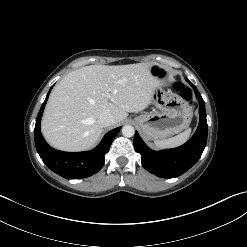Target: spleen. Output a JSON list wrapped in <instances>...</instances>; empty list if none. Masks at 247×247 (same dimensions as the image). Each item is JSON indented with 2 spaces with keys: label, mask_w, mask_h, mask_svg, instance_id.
<instances>
[{
  "label": "spleen",
  "mask_w": 247,
  "mask_h": 247,
  "mask_svg": "<svg viewBox=\"0 0 247 247\" xmlns=\"http://www.w3.org/2000/svg\"><path fill=\"white\" fill-rule=\"evenodd\" d=\"M190 134H191V130L188 129L175 137L163 139V140H156L154 144L160 149L178 147L189 139Z\"/></svg>",
  "instance_id": "spleen-1"
}]
</instances>
